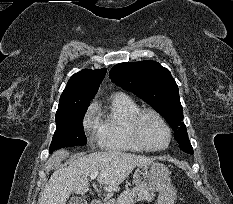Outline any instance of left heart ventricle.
<instances>
[{
  "label": "left heart ventricle",
  "mask_w": 233,
  "mask_h": 204,
  "mask_svg": "<svg viewBox=\"0 0 233 204\" xmlns=\"http://www.w3.org/2000/svg\"><path fill=\"white\" fill-rule=\"evenodd\" d=\"M142 137L147 145L158 148L167 143L168 135L162 123L152 115H146L140 125Z\"/></svg>",
  "instance_id": "b2bd125f"
}]
</instances>
